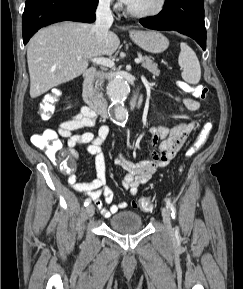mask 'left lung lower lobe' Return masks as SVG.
I'll return each mask as SVG.
<instances>
[{"mask_svg": "<svg viewBox=\"0 0 243 289\" xmlns=\"http://www.w3.org/2000/svg\"><path fill=\"white\" fill-rule=\"evenodd\" d=\"M144 27L154 30H174L193 38L206 49L203 0H166L156 16L139 20Z\"/></svg>", "mask_w": 243, "mask_h": 289, "instance_id": "obj_1", "label": "left lung lower lobe"}]
</instances>
